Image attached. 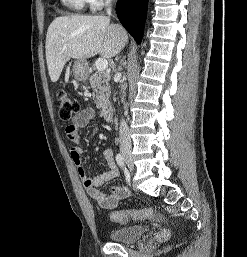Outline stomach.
Masks as SVG:
<instances>
[{
  "instance_id": "1",
  "label": "stomach",
  "mask_w": 247,
  "mask_h": 257,
  "mask_svg": "<svg viewBox=\"0 0 247 257\" xmlns=\"http://www.w3.org/2000/svg\"><path fill=\"white\" fill-rule=\"evenodd\" d=\"M73 74L77 81H86L89 75L87 62L76 60L73 65Z\"/></svg>"
}]
</instances>
